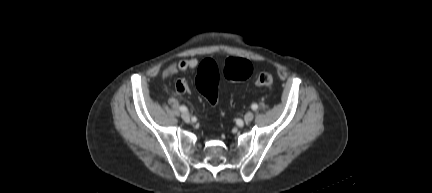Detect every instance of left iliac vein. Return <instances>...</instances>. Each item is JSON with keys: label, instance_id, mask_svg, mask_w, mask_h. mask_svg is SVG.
Here are the masks:
<instances>
[{"label": "left iliac vein", "instance_id": "left-iliac-vein-1", "mask_svg": "<svg viewBox=\"0 0 432 193\" xmlns=\"http://www.w3.org/2000/svg\"><path fill=\"white\" fill-rule=\"evenodd\" d=\"M253 118H254V114L251 111L247 112L244 116V120L247 123L251 122L253 120Z\"/></svg>", "mask_w": 432, "mask_h": 193}]
</instances>
